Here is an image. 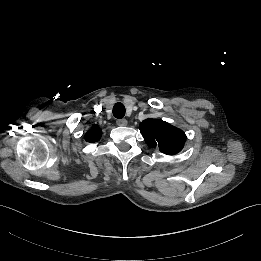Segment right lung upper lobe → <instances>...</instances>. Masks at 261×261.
<instances>
[{"mask_svg":"<svg viewBox=\"0 0 261 261\" xmlns=\"http://www.w3.org/2000/svg\"><path fill=\"white\" fill-rule=\"evenodd\" d=\"M102 136L101 129L94 125L91 130H89L85 135V140L88 142H96L98 141Z\"/></svg>","mask_w":261,"mask_h":261,"instance_id":"right-lung-upper-lobe-1","label":"right lung upper lobe"}]
</instances>
